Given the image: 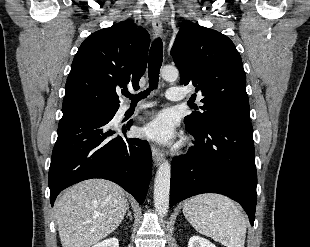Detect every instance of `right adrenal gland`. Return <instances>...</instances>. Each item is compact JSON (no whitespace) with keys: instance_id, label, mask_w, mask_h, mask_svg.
Returning a JSON list of instances; mask_svg holds the SVG:
<instances>
[{"instance_id":"1","label":"right adrenal gland","mask_w":310,"mask_h":247,"mask_svg":"<svg viewBox=\"0 0 310 247\" xmlns=\"http://www.w3.org/2000/svg\"><path fill=\"white\" fill-rule=\"evenodd\" d=\"M126 217H129V219L132 220V215H131V212L129 210V205L127 206V216Z\"/></svg>"}]
</instances>
